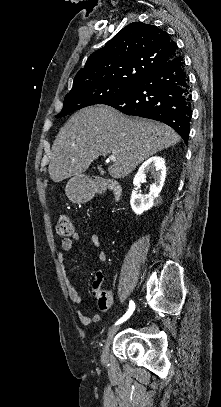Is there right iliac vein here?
Segmentation results:
<instances>
[{
  "label": "right iliac vein",
  "mask_w": 221,
  "mask_h": 407,
  "mask_svg": "<svg viewBox=\"0 0 221 407\" xmlns=\"http://www.w3.org/2000/svg\"><path fill=\"white\" fill-rule=\"evenodd\" d=\"M119 328H120V324H117V325L113 326L108 332V336H107V339H106V342L104 344L102 354H101V361L103 363H106L108 361L109 346H110V343H111L114 335L117 333Z\"/></svg>",
  "instance_id": "1"
}]
</instances>
